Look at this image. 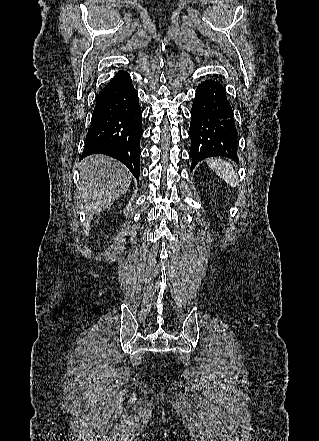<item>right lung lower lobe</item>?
Returning a JSON list of instances; mask_svg holds the SVG:
<instances>
[{
	"label": "right lung lower lobe",
	"mask_w": 319,
	"mask_h": 441,
	"mask_svg": "<svg viewBox=\"0 0 319 441\" xmlns=\"http://www.w3.org/2000/svg\"><path fill=\"white\" fill-rule=\"evenodd\" d=\"M142 112L130 75L119 71L96 97L81 159L105 154L125 164L136 179L140 174Z\"/></svg>",
	"instance_id": "obj_1"
}]
</instances>
